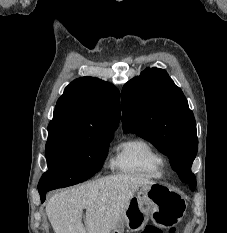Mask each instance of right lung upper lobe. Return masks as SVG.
Wrapping results in <instances>:
<instances>
[{
	"label": "right lung upper lobe",
	"mask_w": 227,
	"mask_h": 233,
	"mask_svg": "<svg viewBox=\"0 0 227 233\" xmlns=\"http://www.w3.org/2000/svg\"><path fill=\"white\" fill-rule=\"evenodd\" d=\"M120 120V93L101 79L81 77L58 99L49 134L103 136L114 133Z\"/></svg>",
	"instance_id": "obj_1"
}]
</instances>
